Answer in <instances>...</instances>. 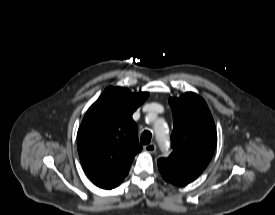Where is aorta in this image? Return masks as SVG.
Instances as JSON below:
<instances>
[{
    "instance_id": "1",
    "label": "aorta",
    "mask_w": 275,
    "mask_h": 215,
    "mask_svg": "<svg viewBox=\"0 0 275 215\" xmlns=\"http://www.w3.org/2000/svg\"><path fill=\"white\" fill-rule=\"evenodd\" d=\"M154 130L160 147L167 148L169 145V137L166 128L160 124H157L155 125Z\"/></svg>"
}]
</instances>
